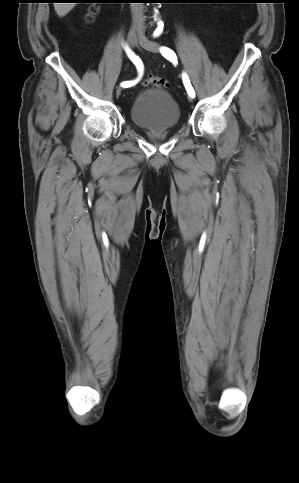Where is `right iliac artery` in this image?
Wrapping results in <instances>:
<instances>
[{
  "label": "right iliac artery",
  "instance_id": "82829eb1",
  "mask_svg": "<svg viewBox=\"0 0 299 483\" xmlns=\"http://www.w3.org/2000/svg\"><path fill=\"white\" fill-rule=\"evenodd\" d=\"M125 50H126V53H127L128 57L130 58V60L137 67L140 75H142V73H143V63L140 60V58L138 56H136L127 46L125 47ZM139 79L140 78H137L136 80H133V81H124V82L121 83V86L124 87V88H128V87L134 86L135 84H137V82L139 81Z\"/></svg>",
  "mask_w": 299,
  "mask_h": 483
}]
</instances>
